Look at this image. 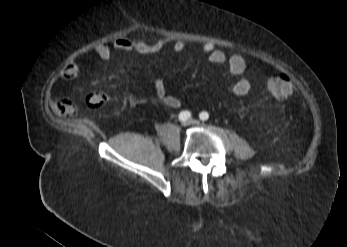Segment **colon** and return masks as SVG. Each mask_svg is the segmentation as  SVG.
<instances>
[{"label":"colon","mask_w":347,"mask_h":247,"mask_svg":"<svg viewBox=\"0 0 347 247\" xmlns=\"http://www.w3.org/2000/svg\"><path fill=\"white\" fill-rule=\"evenodd\" d=\"M268 89L270 93L278 99L288 98L292 91L293 86L289 77L282 72L274 73L268 80ZM107 101V97L100 91L91 92L87 97V102L92 108H100Z\"/></svg>","instance_id":"obj_1"}]
</instances>
